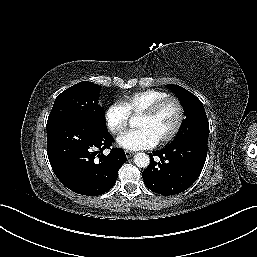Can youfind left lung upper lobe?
<instances>
[{
  "label": "left lung upper lobe",
  "mask_w": 257,
  "mask_h": 257,
  "mask_svg": "<svg viewBox=\"0 0 257 257\" xmlns=\"http://www.w3.org/2000/svg\"><path fill=\"white\" fill-rule=\"evenodd\" d=\"M166 86L179 98L186 116L177 136L170 144L193 140L208 143L209 123L202 102L179 85Z\"/></svg>",
  "instance_id": "5c2ea615"
}]
</instances>
